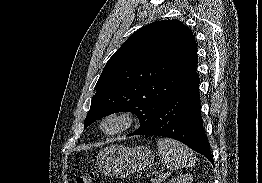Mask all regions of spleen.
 Instances as JSON below:
<instances>
[{
	"mask_svg": "<svg viewBox=\"0 0 262 183\" xmlns=\"http://www.w3.org/2000/svg\"><path fill=\"white\" fill-rule=\"evenodd\" d=\"M161 161L170 170L194 166L195 155L187 146L169 138H161L157 142Z\"/></svg>",
	"mask_w": 262,
	"mask_h": 183,
	"instance_id": "obj_1",
	"label": "spleen"
}]
</instances>
